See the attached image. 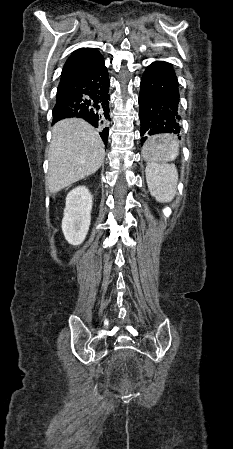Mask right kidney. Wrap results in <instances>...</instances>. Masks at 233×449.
Listing matches in <instances>:
<instances>
[{"instance_id": "obj_1", "label": "right kidney", "mask_w": 233, "mask_h": 449, "mask_svg": "<svg viewBox=\"0 0 233 449\" xmlns=\"http://www.w3.org/2000/svg\"><path fill=\"white\" fill-rule=\"evenodd\" d=\"M92 195L85 186L71 190L66 197L62 231L69 244L80 245L91 222Z\"/></svg>"}]
</instances>
